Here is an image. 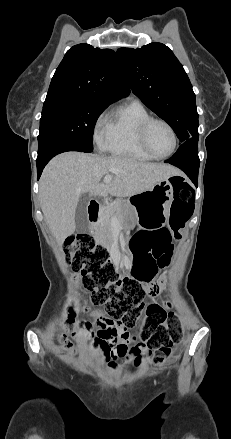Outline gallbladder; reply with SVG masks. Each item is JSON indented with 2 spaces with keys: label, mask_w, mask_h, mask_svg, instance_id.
Wrapping results in <instances>:
<instances>
[{
  "label": "gallbladder",
  "mask_w": 231,
  "mask_h": 439,
  "mask_svg": "<svg viewBox=\"0 0 231 439\" xmlns=\"http://www.w3.org/2000/svg\"><path fill=\"white\" fill-rule=\"evenodd\" d=\"M90 198L87 195L80 197L75 212V225L77 232H86L89 228V222L87 218V207Z\"/></svg>",
  "instance_id": "obj_1"
}]
</instances>
